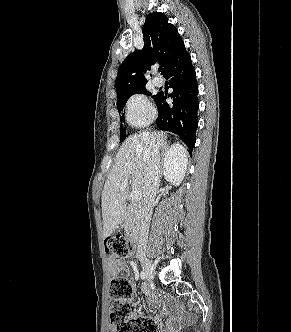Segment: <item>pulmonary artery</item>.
Instances as JSON below:
<instances>
[{"instance_id": "1", "label": "pulmonary artery", "mask_w": 291, "mask_h": 332, "mask_svg": "<svg viewBox=\"0 0 291 332\" xmlns=\"http://www.w3.org/2000/svg\"><path fill=\"white\" fill-rule=\"evenodd\" d=\"M153 81H154L155 85H157V86H162L164 84V80L158 76L155 77Z\"/></svg>"}]
</instances>
